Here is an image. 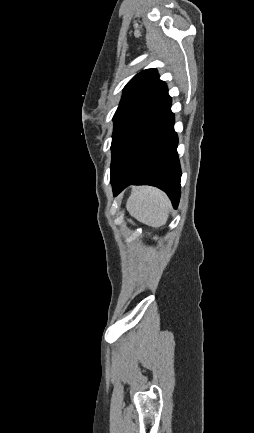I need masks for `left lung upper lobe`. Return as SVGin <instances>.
<instances>
[{"label": "left lung upper lobe", "instance_id": "5c2ea615", "mask_svg": "<svg viewBox=\"0 0 254 433\" xmlns=\"http://www.w3.org/2000/svg\"><path fill=\"white\" fill-rule=\"evenodd\" d=\"M168 96L166 84L155 69L143 70L124 87L113 117L111 176L120 166L132 140Z\"/></svg>", "mask_w": 254, "mask_h": 433}]
</instances>
